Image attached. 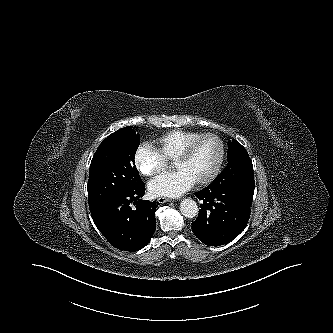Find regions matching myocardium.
<instances>
[{
  "mask_svg": "<svg viewBox=\"0 0 333 333\" xmlns=\"http://www.w3.org/2000/svg\"><path fill=\"white\" fill-rule=\"evenodd\" d=\"M208 137L213 138L217 141V143L219 145V150H220L219 157H218L217 163H216L214 169L212 170V172L206 178L195 182L198 186L209 185L218 177V175L221 172V169H222V166H223V163L225 160V146H224L223 141L220 139V137L214 133L200 134L196 138L189 141L186 144V146L183 148V150L180 152V154L174 159V164L186 160L191 155V153L193 152L196 145L201 140L208 138Z\"/></svg>",
  "mask_w": 333,
  "mask_h": 333,
  "instance_id": "myocardium-1",
  "label": "myocardium"
}]
</instances>
